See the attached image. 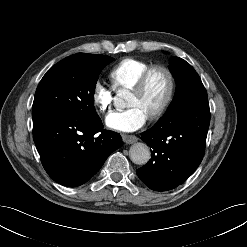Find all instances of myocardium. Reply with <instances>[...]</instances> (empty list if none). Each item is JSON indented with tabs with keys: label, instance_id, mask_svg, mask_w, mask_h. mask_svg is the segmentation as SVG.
Returning a JSON list of instances; mask_svg holds the SVG:
<instances>
[{
	"label": "myocardium",
	"instance_id": "1",
	"mask_svg": "<svg viewBox=\"0 0 247 247\" xmlns=\"http://www.w3.org/2000/svg\"><path fill=\"white\" fill-rule=\"evenodd\" d=\"M157 71H161L166 75L167 80H168V89H167V93L161 105L153 113L149 115L150 119H157L161 117L165 113V111L168 109V107L170 106L173 100L174 94H175V89H176V81H175L174 74L166 66L154 65L148 68L140 76L136 84L131 88V91L134 93H137V94L143 93L147 87L150 77L152 76L153 73Z\"/></svg>",
	"mask_w": 247,
	"mask_h": 247
}]
</instances>
